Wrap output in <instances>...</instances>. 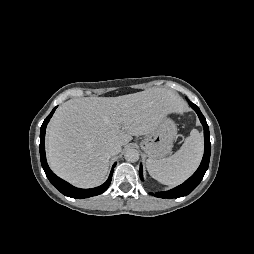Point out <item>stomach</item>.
I'll list each match as a JSON object with an SVG mask.
<instances>
[{
    "mask_svg": "<svg viewBox=\"0 0 254 254\" xmlns=\"http://www.w3.org/2000/svg\"><path fill=\"white\" fill-rule=\"evenodd\" d=\"M176 137V124L172 119L164 117L156 129L141 141V148L149 159H160L171 152Z\"/></svg>",
    "mask_w": 254,
    "mask_h": 254,
    "instance_id": "stomach-1",
    "label": "stomach"
}]
</instances>
